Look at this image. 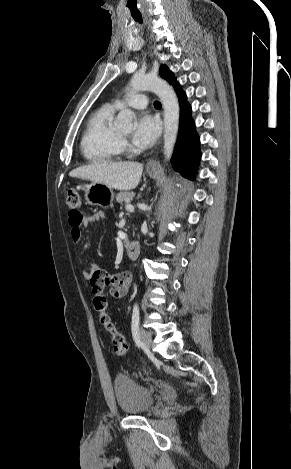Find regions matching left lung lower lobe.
Masks as SVG:
<instances>
[{
	"mask_svg": "<svg viewBox=\"0 0 291 469\" xmlns=\"http://www.w3.org/2000/svg\"><path fill=\"white\" fill-rule=\"evenodd\" d=\"M171 85L177 93L181 108L179 136L171 163L175 171L180 172L190 180H194L201 158L200 140L195 130V124L191 117V106L186 100L185 92L176 80Z\"/></svg>",
	"mask_w": 291,
	"mask_h": 469,
	"instance_id": "obj_1",
	"label": "left lung lower lobe"
}]
</instances>
